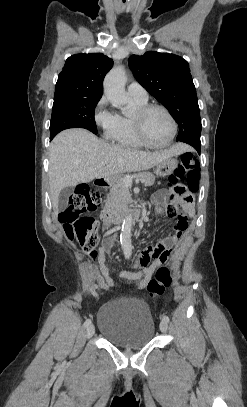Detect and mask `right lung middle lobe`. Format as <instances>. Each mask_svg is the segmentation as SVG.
Wrapping results in <instances>:
<instances>
[{
	"label": "right lung middle lobe",
	"mask_w": 247,
	"mask_h": 407,
	"mask_svg": "<svg viewBox=\"0 0 247 407\" xmlns=\"http://www.w3.org/2000/svg\"><path fill=\"white\" fill-rule=\"evenodd\" d=\"M100 98H54L50 137L68 128H85L97 134L94 112Z\"/></svg>",
	"instance_id": "dd1d6c3e"
}]
</instances>
